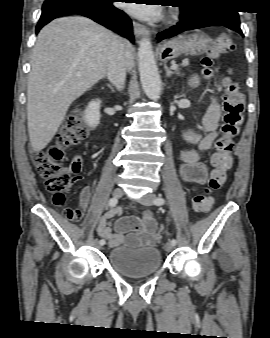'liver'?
I'll use <instances>...</instances> for the list:
<instances>
[{
  "label": "liver",
  "instance_id": "liver-1",
  "mask_svg": "<svg viewBox=\"0 0 270 338\" xmlns=\"http://www.w3.org/2000/svg\"><path fill=\"white\" fill-rule=\"evenodd\" d=\"M113 33L85 17H63L38 34L27 86V124L35 152L52 140L77 98L107 74ZM127 68L133 47L125 41Z\"/></svg>",
  "mask_w": 270,
  "mask_h": 338
}]
</instances>
